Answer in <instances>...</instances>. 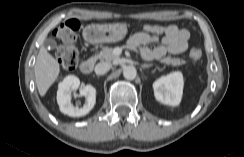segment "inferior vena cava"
<instances>
[{
	"label": "inferior vena cava",
	"mask_w": 244,
	"mask_h": 157,
	"mask_svg": "<svg viewBox=\"0 0 244 157\" xmlns=\"http://www.w3.org/2000/svg\"><path fill=\"white\" fill-rule=\"evenodd\" d=\"M111 66L110 62H100L95 66V73L97 75H104L110 70Z\"/></svg>",
	"instance_id": "inferior-vena-cava-1"
}]
</instances>
